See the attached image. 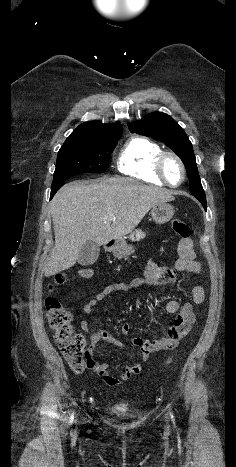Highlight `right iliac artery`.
I'll return each instance as SVG.
<instances>
[{
  "label": "right iliac artery",
  "mask_w": 236,
  "mask_h": 467,
  "mask_svg": "<svg viewBox=\"0 0 236 467\" xmlns=\"http://www.w3.org/2000/svg\"><path fill=\"white\" fill-rule=\"evenodd\" d=\"M73 418H74V413H72V415H71V421L73 420Z\"/></svg>",
  "instance_id": "obj_1"
}]
</instances>
